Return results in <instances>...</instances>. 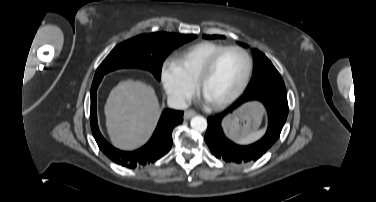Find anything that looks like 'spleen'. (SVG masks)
I'll return each instance as SVG.
<instances>
[{
  "label": "spleen",
  "mask_w": 376,
  "mask_h": 202,
  "mask_svg": "<svg viewBox=\"0 0 376 202\" xmlns=\"http://www.w3.org/2000/svg\"><path fill=\"white\" fill-rule=\"evenodd\" d=\"M263 134H264V130H258L256 132L249 134L248 136L240 139L238 142L240 144H250V143H253V142L257 141L258 139H260Z\"/></svg>",
  "instance_id": "1"
}]
</instances>
